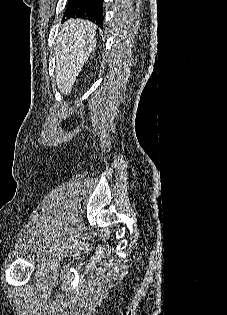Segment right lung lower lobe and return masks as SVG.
Returning a JSON list of instances; mask_svg holds the SVG:
<instances>
[{
	"label": "right lung lower lobe",
	"instance_id": "1",
	"mask_svg": "<svg viewBox=\"0 0 227 315\" xmlns=\"http://www.w3.org/2000/svg\"><path fill=\"white\" fill-rule=\"evenodd\" d=\"M103 0H68L64 18H83L89 19L97 25L103 26Z\"/></svg>",
	"mask_w": 227,
	"mask_h": 315
}]
</instances>
